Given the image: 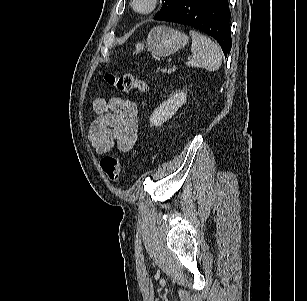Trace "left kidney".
Masks as SVG:
<instances>
[{
    "mask_svg": "<svg viewBox=\"0 0 307 301\" xmlns=\"http://www.w3.org/2000/svg\"><path fill=\"white\" fill-rule=\"evenodd\" d=\"M187 93L177 91L172 94L167 101L163 102L150 116L151 126H160L176 113V111L186 102Z\"/></svg>",
    "mask_w": 307,
    "mask_h": 301,
    "instance_id": "obj_1",
    "label": "left kidney"
}]
</instances>
